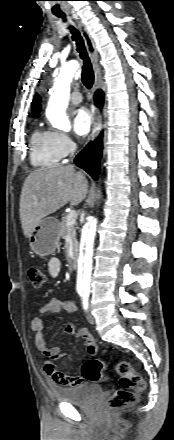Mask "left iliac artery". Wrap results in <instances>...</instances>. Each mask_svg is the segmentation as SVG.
<instances>
[{"label":"left iliac artery","mask_w":174,"mask_h":440,"mask_svg":"<svg viewBox=\"0 0 174 440\" xmlns=\"http://www.w3.org/2000/svg\"><path fill=\"white\" fill-rule=\"evenodd\" d=\"M81 297H82V303H83V308L85 310H87L88 308V297H89V293L88 292H83L80 293Z\"/></svg>","instance_id":"obj_1"}]
</instances>
